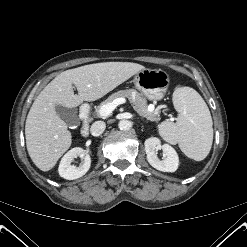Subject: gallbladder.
Listing matches in <instances>:
<instances>
[{
  "label": "gallbladder",
  "instance_id": "bac80fb5",
  "mask_svg": "<svg viewBox=\"0 0 247 247\" xmlns=\"http://www.w3.org/2000/svg\"><path fill=\"white\" fill-rule=\"evenodd\" d=\"M57 115L69 126L80 125V120L75 108H66L62 105H56L55 107Z\"/></svg>",
  "mask_w": 247,
  "mask_h": 247
}]
</instances>
